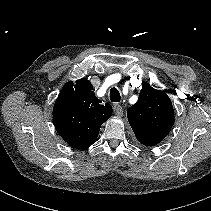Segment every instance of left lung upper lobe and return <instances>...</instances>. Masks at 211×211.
Wrapping results in <instances>:
<instances>
[{"instance_id": "1", "label": "left lung upper lobe", "mask_w": 211, "mask_h": 211, "mask_svg": "<svg viewBox=\"0 0 211 211\" xmlns=\"http://www.w3.org/2000/svg\"><path fill=\"white\" fill-rule=\"evenodd\" d=\"M128 121L138 141L145 146L160 143L174 124L171 100L164 91L143 85L138 101L127 110Z\"/></svg>"}]
</instances>
